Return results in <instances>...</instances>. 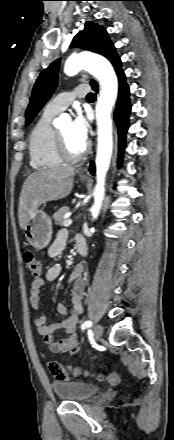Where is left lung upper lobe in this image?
<instances>
[{"instance_id":"5c2ea615","label":"left lung upper lobe","mask_w":174,"mask_h":440,"mask_svg":"<svg viewBox=\"0 0 174 440\" xmlns=\"http://www.w3.org/2000/svg\"><path fill=\"white\" fill-rule=\"evenodd\" d=\"M72 47H80L112 59L117 55L113 43L110 41L106 29L92 21L85 24V29L80 31L71 44ZM60 60L51 63L38 77L32 92L30 103L27 108L26 124H30L42 106L54 92L58 81ZM95 81H91V84Z\"/></svg>"}]
</instances>
